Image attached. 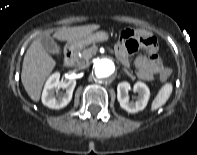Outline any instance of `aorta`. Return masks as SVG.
<instances>
[{
  "mask_svg": "<svg viewBox=\"0 0 197 155\" xmlns=\"http://www.w3.org/2000/svg\"><path fill=\"white\" fill-rule=\"evenodd\" d=\"M94 73L97 78L104 79L114 74L116 67L109 58H98L93 64Z\"/></svg>",
  "mask_w": 197,
  "mask_h": 155,
  "instance_id": "762f6f07",
  "label": "aorta"
}]
</instances>
